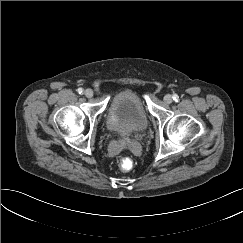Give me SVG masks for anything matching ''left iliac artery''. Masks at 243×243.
Returning <instances> with one entry per match:
<instances>
[{
    "label": "left iliac artery",
    "instance_id": "1",
    "mask_svg": "<svg viewBox=\"0 0 243 243\" xmlns=\"http://www.w3.org/2000/svg\"><path fill=\"white\" fill-rule=\"evenodd\" d=\"M178 99H179V96H178L177 94H175V95L173 96V100L177 102Z\"/></svg>",
    "mask_w": 243,
    "mask_h": 243
}]
</instances>
